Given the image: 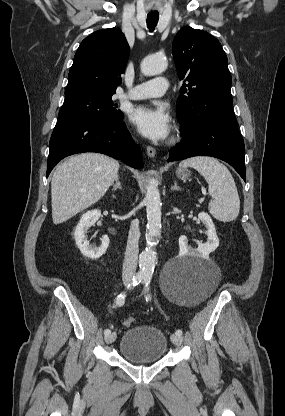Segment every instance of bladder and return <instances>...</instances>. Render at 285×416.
I'll use <instances>...</instances> for the list:
<instances>
[{
  "instance_id": "obj_1",
  "label": "bladder",
  "mask_w": 285,
  "mask_h": 416,
  "mask_svg": "<svg viewBox=\"0 0 285 416\" xmlns=\"http://www.w3.org/2000/svg\"><path fill=\"white\" fill-rule=\"evenodd\" d=\"M167 348L166 334L152 325L129 328L118 341L122 358L132 363L159 362L164 359Z\"/></svg>"
}]
</instances>
